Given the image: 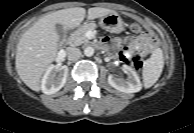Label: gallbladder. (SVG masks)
<instances>
[{"label": "gallbladder", "mask_w": 194, "mask_h": 133, "mask_svg": "<svg viewBox=\"0 0 194 133\" xmlns=\"http://www.w3.org/2000/svg\"><path fill=\"white\" fill-rule=\"evenodd\" d=\"M56 31L60 39H62L65 35V29L61 24H56Z\"/></svg>", "instance_id": "bac80fb5"}]
</instances>
